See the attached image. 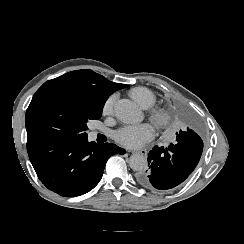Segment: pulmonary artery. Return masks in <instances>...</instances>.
I'll use <instances>...</instances> for the list:
<instances>
[{
    "label": "pulmonary artery",
    "instance_id": "e3ab8cb5",
    "mask_svg": "<svg viewBox=\"0 0 244 244\" xmlns=\"http://www.w3.org/2000/svg\"><path fill=\"white\" fill-rule=\"evenodd\" d=\"M91 135H92V136H94L95 134H94V133H92Z\"/></svg>",
    "mask_w": 244,
    "mask_h": 244
}]
</instances>
